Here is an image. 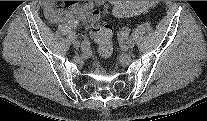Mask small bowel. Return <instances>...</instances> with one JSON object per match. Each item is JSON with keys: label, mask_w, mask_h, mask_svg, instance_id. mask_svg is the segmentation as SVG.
<instances>
[{"label": "small bowel", "mask_w": 207, "mask_h": 121, "mask_svg": "<svg viewBox=\"0 0 207 121\" xmlns=\"http://www.w3.org/2000/svg\"><path fill=\"white\" fill-rule=\"evenodd\" d=\"M117 2H111L114 6ZM102 2L64 1L60 5L55 1H45L43 4L44 15L51 24H64L68 27H77L80 23L92 25L101 17L97 8Z\"/></svg>", "instance_id": "small-bowel-1"}]
</instances>
